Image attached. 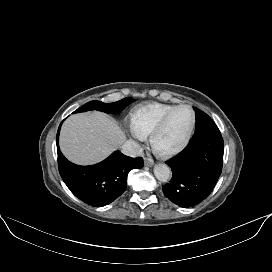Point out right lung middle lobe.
Instances as JSON below:
<instances>
[{
    "mask_svg": "<svg viewBox=\"0 0 272 272\" xmlns=\"http://www.w3.org/2000/svg\"><path fill=\"white\" fill-rule=\"evenodd\" d=\"M134 99L131 97L124 98L120 101L113 102V103H103L100 101H90L74 111L73 113H78V112H85V111H90V110H99V111H104V112H111V113H117L121 111L123 108H125L128 104H130Z\"/></svg>",
    "mask_w": 272,
    "mask_h": 272,
    "instance_id": "obj_1",
    "label": "right lung middle lobe"
}]
</instances>
